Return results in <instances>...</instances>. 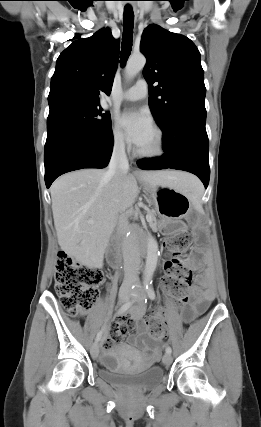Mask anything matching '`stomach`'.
<instances>
[{"mask_svg":"<svg viewBox=\"0 0 261 427\" xmlns=\"http://www.w3.org/2000/svg\"><path fill=\"white\" fill-rule=\"evenodd\" d=\"M155 209L162 219H180L191 210L188 194L170 186H157L151 192Z\"/></svg>","mask_w":261,"mask_h":427,"instance_id":"stomach-1","label":"stomach"}]
</instances>
